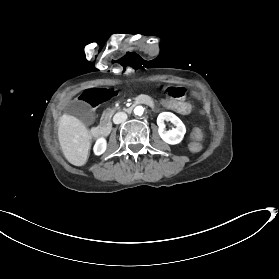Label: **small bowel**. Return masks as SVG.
<instances>
[{"instance_id":"obj_1","label":"small bowel","mask_w":279,"mask_h":279,"mask_svg":"<svg viewBox=\"0 0 279 279\" xmlns=\"http://www.w3.org/2000/svg\"><path fill=\"white\" fill-rule=\"evenodd\" d=\"M161 87L166 92L167 96L174 100H181L187 94V88L182 85L162 84Z\"/></svg>"}]
</instances>
